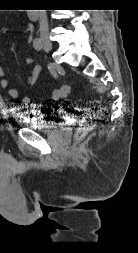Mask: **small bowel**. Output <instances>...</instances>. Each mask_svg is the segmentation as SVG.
<instances>
[{
  "mask_svg": "<svg viewBox=\"0 0 138 253\" xmlns=\"http://www.w3.org/2000/svg\"><path fill=\"white\" fill-rule=\"evenodd\" d=\"M25 63L26 64H32L33 63V59L30 56H27L25 58ZM42 72V67L40 65H36L32 71L30 72V74L27 77L26 80V85L28 87H34L38 81L39 75ZM0 85L3 89H6L8 94L12 97V98H16L18 96V92L15 89L9 88L8 86V82L5 76V72L3 71L2 67L0 66ZM21 103L23 105H28L30 103V98L25 96L21 99Z\"/></svg>",
  "mask_w": 138,
  "mask_h": 253,
  "instance_id": "c3829d8e",
  "label": "small bowel"
}]
</instances>
